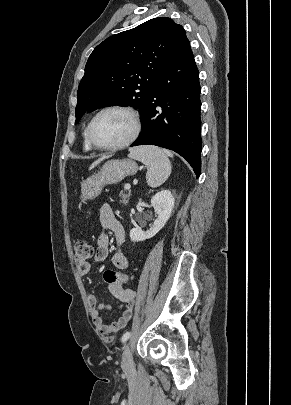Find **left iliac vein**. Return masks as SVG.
<instances>
[{
  "label": "left iliac vein",
  "mask_w": 291,
  "mask_h": 405,
  "mask_svg": "<svg viewBox=\"0 0 291 405\" xmlns=\"http://www.w3.org/2000/svg\"><path fill=\"white\" fill-rule=\"evenodd\" d=\"M123 368L125 371H131L134 368L133 357L128 344L123 350Z\"/></svg>",
  "instance_id": "obj_1"
}]
</instances>
